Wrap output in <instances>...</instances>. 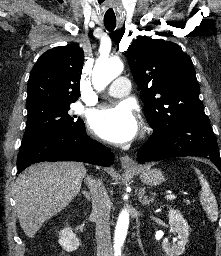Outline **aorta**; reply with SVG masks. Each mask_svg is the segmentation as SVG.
<instances>
[{"label": "aorta", "instance_id": "obj_1", "mask_svg": "<svg viewBox=\"0 0 221 256\" xmlns=\"http://www.w3.org/2000/svg\"><path fill=\"white\" fill-rule=\"evenodd\" d=\"M124 69L119 59L99 60L92 72V84L97 91L103 90L111 81L118 77ZM129 225V213L126 209L119 214L115 227L114 250L115 255H121V248L125 241Z\"/></svg>", "mask_w": 221, "mask_h": 256}]
</instances>
